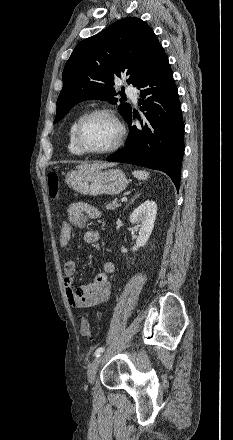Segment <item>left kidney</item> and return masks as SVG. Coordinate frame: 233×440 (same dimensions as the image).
<instances>
[{
    "mask_svg": "<svg viewBox=\"0 0 233 440\" xmlns=\"http://www.w3.org/2000/svg\"><path fill=\"white\" fill-rule=\"evenodd\" d=\"M157 214V205L154 201H145L139 205L130 215V222L137 224L139 228V236L136 245L132 247V251H137L143 247L150 238ZM122 253H127L125 247L121 249Z\"/></svg>",
    "mask_w": 233,
    "mask_h": 440,
    "instance_id": "1",
    "label": "left kidney"
}]
</instances>
